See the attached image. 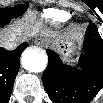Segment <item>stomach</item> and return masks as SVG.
I'll return each mask as SVG.
<instances>
[{
	"mask_svg": "<svg viewBox=\"0 0 103 103\" xmlns=\"http://www.w3.org/2000/svg\"><path fill=\"white\" fill-rule=\"evenodd\" d=\"M50 42L64 60H70L80 48L81 38L79 35L75 34L60 39H53Z\"/></svg>",
	"mask_w": 103,
	"mask_h": 103,
	"instance_id": "obj_1",
	"label": "stomach"
}]
</instances>
